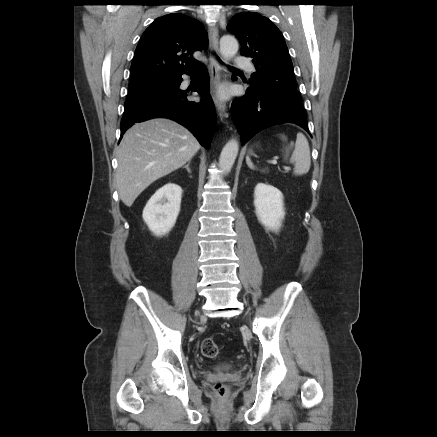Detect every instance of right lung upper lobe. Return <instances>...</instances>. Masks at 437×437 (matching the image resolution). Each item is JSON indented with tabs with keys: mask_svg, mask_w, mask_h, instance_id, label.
<instances>
[{
	"mask_svg": "<svg viewBox=\"0 0 437 437\" xmlns=\"http://www.w3.org/2000/svg\"><path fill=\"white\" fill-rule=\"evenodd\" d=\"M206 46L207 32L199 21L178 13L158 17L137 45L131 80L176 78L200 65L192 54Z\"/></svg>",
	"mask_w": 437,
	"mask_h": 437,
	"instance_id": "right-lung-upper-lobe-1",
	"label": "right lung upper lobe"
}]
</instances>
